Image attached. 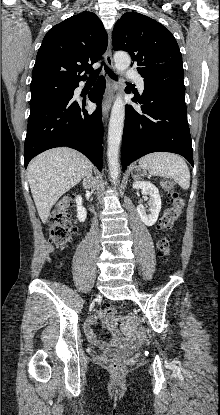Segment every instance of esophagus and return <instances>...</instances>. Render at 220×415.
Instances as JSON below:
<instances>
[{
  "label": "esophagus",
  "instance_id": "obj_1",
  "mask_svg": "<svg viewBox=\"0 0 220 415\" xmlns=\"http://www.w3.org/2000/svg\"><path fill=\"white\" fill-rule=\"evenodd\" d=\"M104 58H105V62L108 66L109 69L113 70L114 67V62H113V58H112V50H111V35H109V41H108V46L107 49L105 51L104 54ZM104 74H106V72L104 71ZM117 90V84L116 82L109 78L107 79V86H106V92H105V99L103 102V106H102V115H103V119H106L111 107V99L115 93V91Z\"/></svg>",
  "mask_w": 220,
  "mask_h": 415
}]
</instances>
